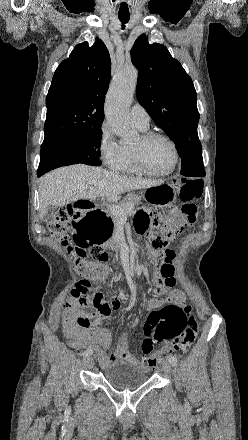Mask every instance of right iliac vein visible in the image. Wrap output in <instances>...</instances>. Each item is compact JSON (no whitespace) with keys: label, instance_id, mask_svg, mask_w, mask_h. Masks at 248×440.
<instances>
[{"label":"right iliac vein","instance_id":"63e3f726","mask_svg":"<svg viewBox=\"0 0 248 440\" xmlns=\"http://www.w3.org/2000/svg\"><path fill=\"white\" fill-rule=\"evenodd\" d=\"M84 362H85V365H86V367H88V368H92L93 367V365H94V360H93V358L92 357H86L85 359H84Z\"/></svg>","mask_w":248,"mask_h":440}]
</instances>
